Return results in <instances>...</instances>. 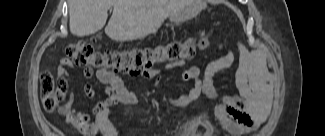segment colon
<instances>
[{
  "label": "colon",
  "instance_id": "obj_1",
  "mask_svg": "<svg viewBox=\"0 0 325 136\" xmlns=\"http://www.w3.org/2000/svg\"><path fill=\"white\" fill-rule=\"evenodd\" d=\"M96 39L81 40L70 44L66 49L67 57L77 66H91L111 72L138 74L165 61H177L191 58L197 48L207 43V36L199 40L171 42L148 47L134 46L124 50L95 49ZM40 94L44 108L48 112L60 109L64 99L52 74L44 71L40 76Z\"/></svg>",
  "mask_w": 325,
  "mask_h": 136
}]
</instances>
